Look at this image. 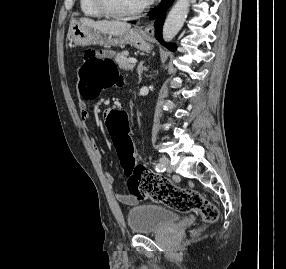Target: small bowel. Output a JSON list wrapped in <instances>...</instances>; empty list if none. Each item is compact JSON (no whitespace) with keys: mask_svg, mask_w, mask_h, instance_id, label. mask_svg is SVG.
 Wrapping results in <instances>:
<instances>
[{"mask_svg":"<svg viewBox=\"0 0 286 269\" xmlns=\"http://www.w3.org/2000/svg\"><path fill=\"white\" fill-rule=\"evenodd\" d=\"M78 106H79L80 118L83 121L88 120V118H89V111H88V108H87V104L84 101L80 100L78 102ZM109 109L110 108H103V111L100 112V115H101L100 119H99L100 123H105L106 122L105 116H110ZM91 144H92V148H93L95 157L97 158V160L99 162H101L102 161V154H101V151H100L98 145L96 144V142L94 140L91 141ZM104 174H105L106 181L109 184H112L114 182L113 175L109 171H105ZM115 196L121 203H123L125 205H135L138 202V198L137 197H135L133 195H129V194H127V193H125V192H123L121 190L116 191Z\"/></svg>","mask_w":286,"mask_h":269,"instance_id":"1","label":"small bowel"}]
</instances>
